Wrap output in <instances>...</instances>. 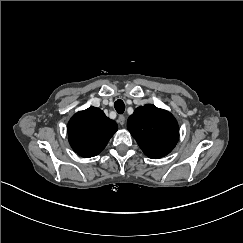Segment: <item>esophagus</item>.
<instances>
[{
    "label": "esophagus",
    "instance_id": "obj_1",
    "mask_svg": "<svg viewBox=\"0 0 243 243\" xmlns=\"http://www.w3.org/2000/svg\"><path fill=\"white\" fill-rule=\"evenodd\" d=\"M118 122L120 125H124L125 123V117L123 115H119Z\"/></svg>",
    "mask_w": 243,
    "mask_h": 243
}]
</instances>
